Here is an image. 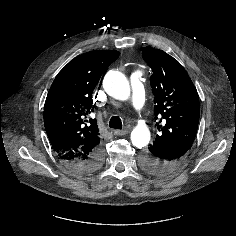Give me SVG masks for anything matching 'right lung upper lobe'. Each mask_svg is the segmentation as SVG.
I'll list each match as a JSON object with an SVG mask.
<instances>
[{"mask_svg":"<svg viewBox=\"0 0 236 236\" xmlns=\"http://www.w3.org/2000/svg\"><path fill=\"white\" fill-rule=\"evenodd\" d=\"M94 50L71 60L56 76L44 106V126L52 148L62 160H86L101 147L92 94L105 69L118 56Z\"/></svg>","mask_w":236,"mask_h":236,"instance_id":"right-lung-upper-lobe-1","label":"right lung upper lobe"}]
</instances>
